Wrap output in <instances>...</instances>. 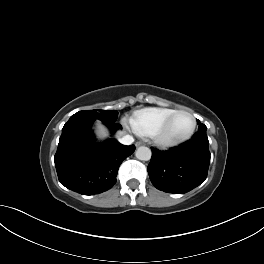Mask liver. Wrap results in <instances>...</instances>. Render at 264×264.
I'll use <instances>...</instances> for the list:
<instances>
[{"label":"liver","instance_id":"obj_1","mask_svg":"<svg viewBox=\"0 0 264 264\" xmlns=\"http://www.w3.org/2000/svg\"><path fill=\"white\" fill-rule=\"evenodd\" d=\"M98 134L100 137L106 136V129L101 124H98Z\"/></svg>","mask_w":264,"mask_h":264}]
</instances>
